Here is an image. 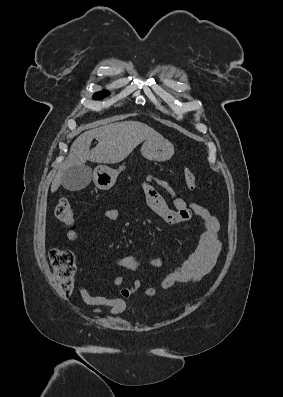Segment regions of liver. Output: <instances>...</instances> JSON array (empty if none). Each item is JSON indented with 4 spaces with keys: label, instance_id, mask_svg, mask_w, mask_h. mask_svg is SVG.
<instances>
[{
    "label": "liver",
    "instance_id": "1",
    "mask_svg": "<svg viewBox=\"0 0 283 397\" xmlns=\"http://www.w3.org/2000/svg\"><path fill=\"white\" fill-rule=\"evenodd\" d=\"M98 141L90 150L93 139ZM161 134L138 121H122L88 130L73 142L70 152L56 174L51 192L58 190L62 175L69 167L84 165L86 161L114 164L124 160L143 141L158 140Z\"/></svg>",
    "mask_w": 283,
    "mask_h": 397
}]
</instances>
